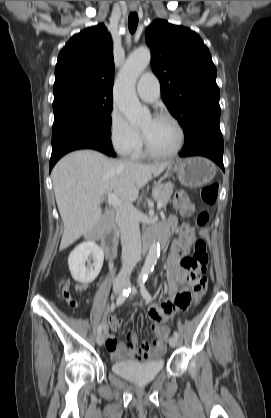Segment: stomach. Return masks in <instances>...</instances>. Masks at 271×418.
I'll return each instance as SVG.
<instances>
[{
    "mask_svg": "<svg viewBox=\"0 0 271 418\" xmlns=\"http://www.w3.org/2000/svg\"><path fill=\"white\" fill-rule=\"evenodd\" d=\"M169 170L176 173L179 182L191 188L208 184L216 174L213 162L203 157H190L173 161Z\"/></svg>",
    "mask_w": 271,
    "mask_h": 418,
    "instance_id": "stomach-1",
    "label": "stomach"
}]
</instances>
